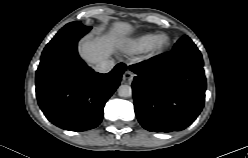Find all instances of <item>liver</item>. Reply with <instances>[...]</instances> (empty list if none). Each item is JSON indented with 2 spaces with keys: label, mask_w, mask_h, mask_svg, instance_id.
I'll return each mask as SVG.
<instances>
[{
  "label": "liver",
  "mask_w": 248,
  "mask_h": 158,
  "mask_svg": "<svg viewBox=\"0 0 248 158\" xmlns=\"http://www.w3.org/2000/svg\"><path fill=\"white\" fill-rule=\"evenodd\" d=\"M133 31L132 25L126 22H115L107 35L87 37L79 45L80 55L90 65H97L107 60L114 49L126 41V36Z\"/></svg>",
  "instance_id": "obj_1"
}]
</instances>
